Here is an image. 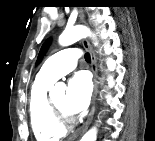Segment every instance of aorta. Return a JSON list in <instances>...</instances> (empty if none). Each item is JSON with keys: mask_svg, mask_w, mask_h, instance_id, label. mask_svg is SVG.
Segmentation results:
<instances>
[{"mask_svg": "<svg viewBox=\"0 0 155 141\" xmlns=\"http://www.w3.org/2000/svg\"><path fill=\"white\" fill-rule=\"evenodd\" d=\"M92 37V33L89 28L82 25H77L71 28H66L59 37V44L62 46L71 45L82 38ZM97 45V43H95ZM65 85L62 83L56 84L53 88V92H64ZM97 136V129L91 128L81 139V141H95Z\"/></svg>", "mask_w": 155, "mask_h": 141, "instance_id": "aorta-1", "label": "aorta"}]
</instances>
